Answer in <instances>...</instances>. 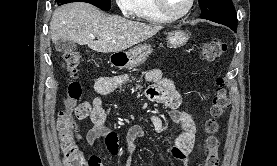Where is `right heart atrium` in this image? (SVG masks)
<instances>
[{"label":"right heart atrium","mask_w":277,"mask_h":166,"mask_svg":"<svg viewBox=\"0 0 277 166\" xmlns=\"http://www.w3.org/2000/svg\"><path fill=\"white\" fill-rule=\"evenodd\" d=\"M115 2L124 14H130L132 12L134 0H115Z\"/></svg>","instance_id":"1"}]
</instances>
